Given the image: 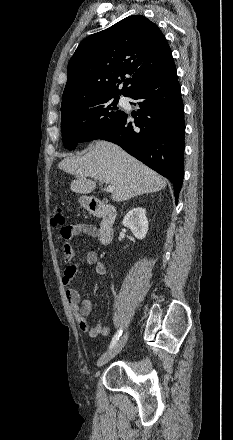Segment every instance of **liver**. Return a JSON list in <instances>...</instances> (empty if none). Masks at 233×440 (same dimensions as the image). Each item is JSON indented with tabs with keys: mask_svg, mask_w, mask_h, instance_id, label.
I'll return each mask as SVG.
<instances>
[{
	"mask_svg": "<svg viewBox=\"0 0 233 440\" xmlns=\"http://www.w3.org/2000/svg\"><path fill=\"white\" fill-rule=\"evenodd\" d=\"M58 167L76 176L70 184L71 191L89 194L96 188V180H100L114 187L111 197L115 202L159 191L167 183L158 173L107 141H96L85 155L66 157Z\"/></svg>",
	"mask_w": 233,
	"mask_h": 440,
	"instance_id": "obj_1",
	"label": "liver"
}]
</instances>
